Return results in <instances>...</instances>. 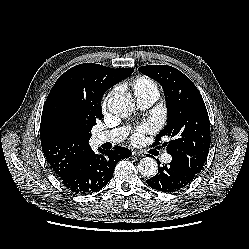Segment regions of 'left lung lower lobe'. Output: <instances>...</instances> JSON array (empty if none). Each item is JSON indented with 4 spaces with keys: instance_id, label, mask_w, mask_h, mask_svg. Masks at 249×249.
<instances>
[{
    "instance_id": "0a47b994",
    "label": "left lung lower lobe",
    "mask_w": 249,
    "mask_h": 249,
    "mask_svg": "<svg viewBox=\"0 0 249 249\" xmlns=\"http://www.w3.org/2000/svg\"><path fill=\"white\" fill-rule=\"evenodd\" d=\"M158 165L160 161L157 160ZM196 173L184 168L180 163L172 160L169 165L159 167L158 173L146 180L147 184L162 192H175L187 186Z\"/></svg>"
}]
</instances>
